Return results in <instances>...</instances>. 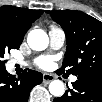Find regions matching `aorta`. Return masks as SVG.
I'll return each mask as SVG.
<instances>
[{"instance_id": "obj_1", "label": "aorta", "mask_w": 102, "mask_h": 102, "mask_svg": "<svg viewBox=\"0 0 102 102\" xmlns=\"http://www.w3.org/2000/svg\"><path fill=\"white\" fill-rule=\"evenodd\" d=\"M27 42L32 50L42 51L48 47L49 38L45 31L34 29L29 32ZM49 91L53 96L61 97L65 92L64 83L60 80L52 81L49 84Z\"/></svg>"}]
</instances>
